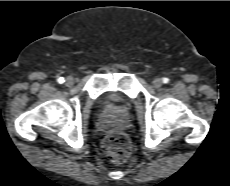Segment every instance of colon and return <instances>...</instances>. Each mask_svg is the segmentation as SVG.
Returning a JSON list of instances; mask_svg holds the SVG:
<instances>
[{
  "label": "colon",
  "mask_w": 230,
  "mask_h": 186,
  "mask_svg": "<svg viewBox=\"0 0 230 186\" xmlns=\"http://www.w3.org/2000/svg\"><path fill=\"white\" fill-rule=\"evenodd\" d=\"M102 145L108 157L114 162H124L130 156V141L122 132L108 133L103 138Z\"/></svg>",
  "instance_id": "colon-1"
}]
</instances>
